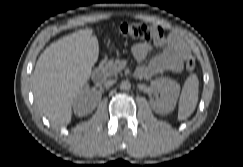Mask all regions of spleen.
I'll return each mask as SVG.
<instances>
[{"mask_svg":"<svg viewBox=\"0 0 243 167\" xmlns=\"http://www.w3.org/2000/svg\"><path fill=\"white\" fill-rule=\"evenodd\" d=\"M199 80L191 74L185 81L178 105V119L186 120L195 110L198 102Z\"/></svg>","mask_w":243,"mask_h":167,"instance_id":"obj_1","label":"spleen"}]
</instances>
